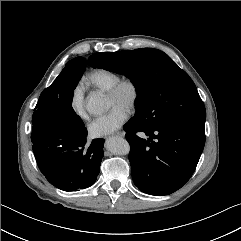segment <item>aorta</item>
I'll return each instance as SVG.
<instances>
[{
    "mask_svg": "<svg viewBox=\"0 0 241 241\" xmlns=\"http://www.w3.org/2000/svg\"><path fill=\"white\" fill-rule=\"evenodd\" d=\"M86 109L94 115H102L108 109L105 96L100 92H93L87 99ZM106 148L114 155H127L130 152V145L123 138H109Z\"/></svg>",
    "mask_w": 241,
    "mask_h": 241,
    "instance_id": "aorta-1",
    "label": "aorta"
}]
</instances>
